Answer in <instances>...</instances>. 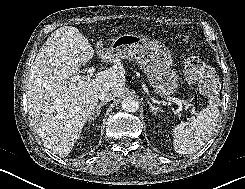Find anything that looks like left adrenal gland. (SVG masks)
<instances>
[{
  "instance_id": "1",
  "label": "left adrenal gland",
  "mask_w": 245,
  "mask_h": 189,
  "mask_svg": "<svg viewBox=\"0 0 245 189\" xmlns=\"http://www.w3.org/2000/svg\"><path fill=\"white\" fill-rule=\"evenodd\" d=\"M147 103L150 106V112L152 114H157L158 111H160V112L163 111L160 107H157V106L153 105L148 99H147Z\"/></svg>"
}]
</instances>
